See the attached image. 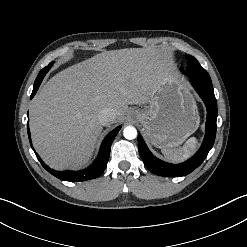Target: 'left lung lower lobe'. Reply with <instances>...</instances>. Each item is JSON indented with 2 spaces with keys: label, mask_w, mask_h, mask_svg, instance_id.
I'll use <instances>...</instances> for the list:
<instances>
[{
  "label": "left lung lower lobe",
  "mask_w": 247,
  "mask_h": 247,
  "mask_svg": "<svg viewBox=\"0 0 247 247\" xmlns=\"http://www.w3.org/2000/svg\"><path fill=\"white\" fill-rule=\"evenodd\" d=\"M182 72H185L182 69ZM190 82L199 96L204 101L207 108L206 134L204 141L197 153L189 160L181 164L166 163L148 150L142 137L138 136L139 154L146 167L154 174L163 177H181L186 176L196 168H198L207 157L210 149L213 147L216 136V120H217V102L214 95L211 80L197 79L193 76L189 77Z\"/></svg>",
  "instance_id": "1"
}]
</instances>
